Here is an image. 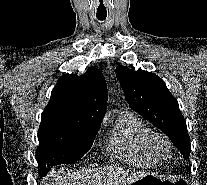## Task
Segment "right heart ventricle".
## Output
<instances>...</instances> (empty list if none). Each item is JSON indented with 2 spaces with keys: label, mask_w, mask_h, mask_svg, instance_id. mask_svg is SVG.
Returning a JSON list of instances; mask_svg holds the SVG:
<instances>
[{
  "label": "right heart ventricle",
  "mask_w": 207,
  "mask_h": 185,
  "mask_svg": "<svg viewBox=\"0 0 207 185\" xmlns=\"http://www.w3.org/2000/svg\"><path fill=\"white\" fill-rule=\"evenodd\" d=\"M152 129L131 113L121 114L110 138V150L124 160L137 165L151 166L160 158L150 147Z\"/></svg>",
  "instance_id": "right-heart-ventricle-1"
}]
</instances>
